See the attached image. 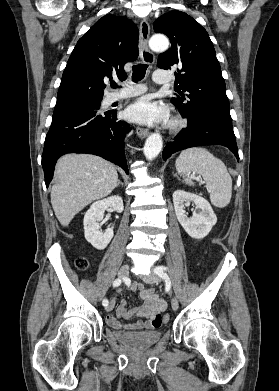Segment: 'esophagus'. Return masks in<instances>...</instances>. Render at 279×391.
<instances>
[{"mask_svg":"<svg viewBox=\"0 0 279 391\" xmlns=\"http://www.w3.org/2000/svg\"><path fill=\"white\" fill-rule=\"evenodd\" d=\"M149 34V23L146 19H142L140 22V56L145 64L152 65L155 61V56L148 47ZM136 133L138 137L145 138L148 136L149 131L147 129L137 127Z\"/></svg>","mask_w":279,"mask_h":391,"instance_id":"obj_1","label":"esophagus"}]
</instances>
